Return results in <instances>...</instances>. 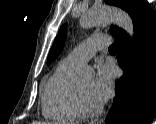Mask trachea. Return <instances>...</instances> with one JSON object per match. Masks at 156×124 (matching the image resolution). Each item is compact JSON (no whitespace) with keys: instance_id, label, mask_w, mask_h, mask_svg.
Returning <instances> with one entry per match:
<instances>
[{"instance_id":"3493384b","label":"trachea","mask_w":156,"mask_h":124,"mask_svg":"<svg viewBox=\"0 0 156 124\" xmlns=\"http://www.w3.org/2000/svg\"><path fill=\"white\" fill-rule=\"evenodd\" d=\"M117 50V47L115 44H112L110 47H109V51H116Z\"/></svg>"}]
</instances>
